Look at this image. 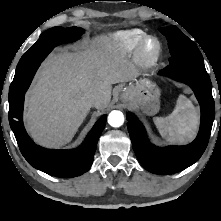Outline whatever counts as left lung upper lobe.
Masks as SVG:
<instances>
[{
    "label": "left lung upper lobe",
    "instance_id": "1",
    "mask_svg": "<svg viewBox=\"0 0 221 221\" xmlns=\"http://www.w3.org/2000/svg\"><path fill=\"white\" fill-rule=\"evenodd\" d=\"M170 49V64H183L205 70L203 57L196 44L176 26L161 28Z\"/></svg>",
    "mask_w": 221,
    "mask_h": 221
}]
</instances>
